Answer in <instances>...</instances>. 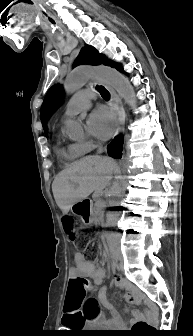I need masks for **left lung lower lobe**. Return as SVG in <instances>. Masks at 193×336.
Masks as SVG:
<instances>
[{
  "instance_id": "0a47b994",
  "label": "left lung lower lobe",
  "mask_w": 193,
  "mask_h": 336,
  "mask_svg": "<svg viewBox=\"0 0 193 336\" xmlns=\"http://www.w3.org/2000/svg\"><path fill=\"white\" fill-rule=\"evenodd\" d=\"M111 67L116 68L117 70L123 72V69H122L121 66L118 65L117 63H112Z\"/></svg>"
}]
</instances>
